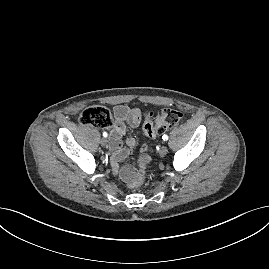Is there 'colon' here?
I'll list each match as a JSON object with an SVG mask.
<instances>
[{
  "mask_svg": "<svg viewBox=\"0 0 269 269\" xmlns=\"http://www.w3.org/2000/svg\"><path fill=\"white\" fill-rule=\"evenodd\" d=\"M182 119V113L173 108H165L155 117L148 114L143 125V131L146 136L153 138L162 132L175 127ZM79 121L85 125H91L98 128L109 127L112 124L110 111L101 105H93L85 108L79 117ZM141 158L139 160V164ZM144 174L142 171L135 172L129 181L132 188H138L143 184Z\"/></svg>",
  "mask_w": 269,
  "mask_h": 269,
  "instance_id": "5ec220e1",
  "label": "colon"
}]
</instances>
